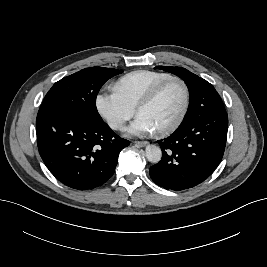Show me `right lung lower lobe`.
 Instances as JSON below:
<instances>
[{"mask_svg":"<svg viewBox=\"0 0 267 267\" xmlns=\"http://www.w3.org/2000/svg\"><path fill=\"white\" fill-rule=\"evenodd\" d=\"M40 156L64 185L89 190L114 174L120 151L129 141L103 121L91 122L70 110L42 103L36 119Z\"/></svg>","mask_w":267,"mask_h":267,"instance_id":"1","label":"right lung lower lobe"}]
</instances>
